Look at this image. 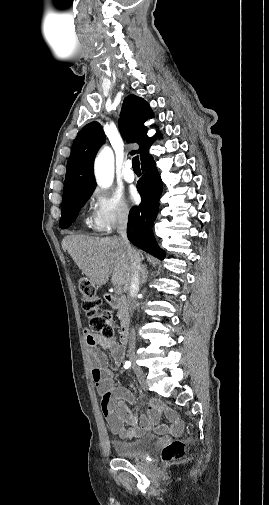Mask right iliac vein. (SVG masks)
I'll return each instance as SVG.
<instances>
[{
  "label": "right iliac vein",
  "instance_id": "obj_1",
  "mask_svg": "<svg viewBox=\"0 0 269 505\" xmlns=\"http://www.w3.org/2000/svg\"><path fill=\"white\" fill-rule=\"evenodd\" d=\"M130 361L133 365V369L135 370V373L139 377L140 385L143 387L144 390H147L148 389L147 376L143 373L142 369L136 365V358L135 357H131Z\"/></svg>",
  "mask_w": 269,
  "mask_h": 505
}]
</instances>
